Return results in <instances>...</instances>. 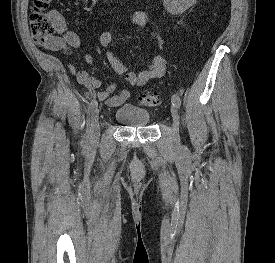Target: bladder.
Listing matches in <instances>:
<instances>
[{
    "label": "bladder",
    "instance_id": "obj_1",
    "mask_svg": "<svg viewBox=\"0 0 275 263\" xmlns=\"http://www.w3.org/2000/svg\"><path fill=\"white\" fill-rule=\"evenodd\" d=\"M114 119L127 127H144L150 121V113L133 104L126 103L116 109Z\"/></svg>",
    "mask_w": 275,
    "mask_h": 263
}]
</instances>
